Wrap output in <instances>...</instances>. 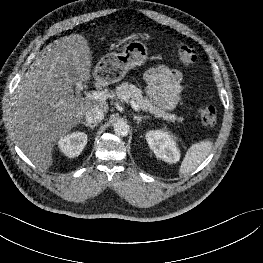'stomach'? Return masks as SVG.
I'll return each mask as SVG.
<instances>
[{"mask_svg":"<svg viewBox=\"0 0 263 263\" xmlns=\"http://www.w3.org/2000/svg\"><path fill=\"white\" fill-rule=\"evenodd\" d=\"M148 55V48L143 42L130 40L120 53L104 55L96 64L93 76L104 83H116L122 80L130 69L143 65Z\"/></svg>","mask_w":263,"mask_h":263,"instance_id":"0dacf381","label":"stomach"}]
</instances>
